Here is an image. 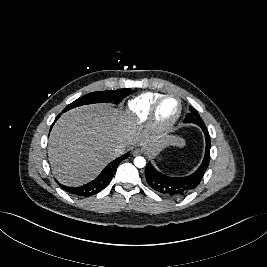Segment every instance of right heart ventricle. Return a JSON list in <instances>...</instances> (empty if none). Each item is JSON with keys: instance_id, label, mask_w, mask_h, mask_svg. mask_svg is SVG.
Returning <instances> with one entry per match:
<instances>
[{"instance_id": "obj_1", "label": "right heart ventricle", "mask_w": 267, "mask_h": 267, "mask_svg": "<svg viewBox=\"0 0 267 267\" xmlns=\"http://www.w3.org/2000/svg\"><path fill=\"white\" fill-rule=\"evenodd\" d=\"M159 92H145L131 99L127 104L128 113L137 123L147 121L153 103L162 96Z\"/></svg>"}]
</instances>
